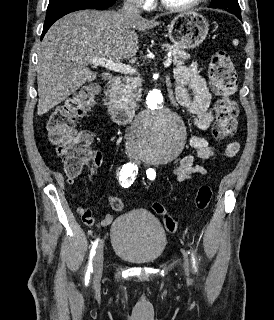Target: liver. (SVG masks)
<instances>
[{
	"label": "liver",
	"instance_id": "obj_1",
	"mask_svg": "<svg viewBox=\"0 0 274 320\" xmlns=\"http://www.w3.org/2000/svg\"><path fill=\"white\" fill-rule=\"evenodd\" d=\"M156 20L131 18L123 22L115 10H80L55 22L38 50V116L61 104L97 74L88 60L104 56L114 62L131 60L138 52V32L160 26Z\"/></svg>",
	"mask_w": 274,
	"mask_h": 320
}]
</instances>
